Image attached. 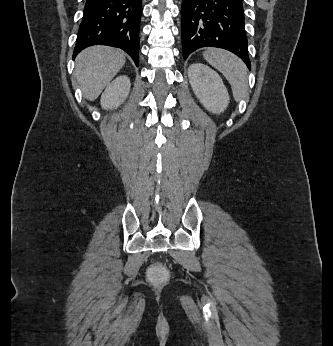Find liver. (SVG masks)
<instances>
[{"label":"liver","instance_id":"liver-1","mask_svg":"<svg viewBox=\"0 0 333 346\" xmlns=\"http://www.w3.org/2000/svg\"><path fill=\"white\" fill-rule=\"evenodd\" d=\"M125 64V54L108 46H92L75 61V76L86 99L94 101Z\"/></svg>","mask_w":333,"mask_h":346}]
</instances>
